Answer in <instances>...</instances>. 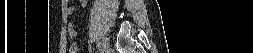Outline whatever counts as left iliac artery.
I'll return each instance as SVG.
<instances>
[{"label": "left iliac artery", "mask_w": 253, "mask_h": 53, "mask_svg": "<svg viewBox=\"0 0 253 53\" xmlns=\"http://www.w3.org/2000/svg\"><path fill=\"white\" fill-rule=\"evenodd\" d=\"M95 39H98V36H95ZM96 48H97V51L99 53H102L104 51L103 42L102 41H97L96 42Z\"/></svg>", "instance_id": "left-iliac-artery-1"}]
</instances>
